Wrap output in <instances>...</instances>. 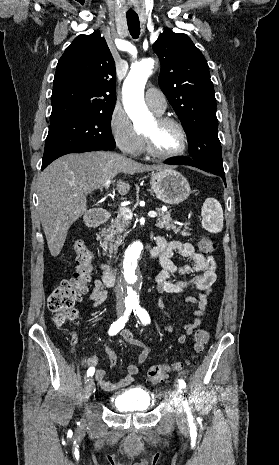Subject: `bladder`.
Returning a JSON list of instances; mask_svg holds the SVG:
<instances>
[{"mask_svg":"<svg viewBox=\"0 0 279 465\" xmlns=\"http://www.w3.org/2000/svg\"><path fill=\"white\" fill-rule=\"evenodd\" d=\"M111 405L120 412H147L153 406L151 393L141 386H132L116 393Z\"/></svg>","mask_w":279,"mask_h":465,"instance_id":"obj_1","label":"bladder"}]
</instances>
